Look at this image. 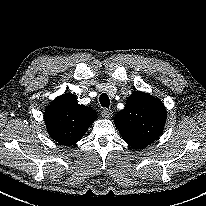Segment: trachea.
Segmentation results:
<instances>
[{
	"label": "trachea",
	"mask_w": 206,
	"mask_h": 206,
	"mask_svg": "<svg viewBox=\"0 0 206 206\" xmlns=\"http://www.w3.org/2000/svg\"><path fill=\"white\" fill-rule=\"evenodd\" d=\"M99 101L102 107L108 108L110 105L109 97L106 93H102L99 97Z\"/></svg>",
	"instance_id": "obj_1"
}]
</instances>
